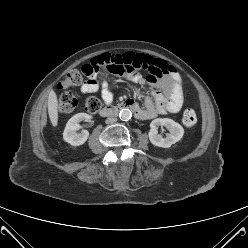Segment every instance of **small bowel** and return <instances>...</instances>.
I'll return each mask as SVG.
<instances>
[{"label":"small bowel","instance_id":"small-bowel-1","mask_svg":"<svg viewBox=\"0 0 248 248\" xmlns=\"http://www.w3.org/2000/svg\"><path fill=\"white\" fill-rule=\"evenodd\" d=\"M119 62L122 73H127L130 81L143 86H151L153 93L145 99V108L137 117L141 120L160 115L175 114L183 105V82L175 68L166 61L142 53L125 52L113 55ZM145 70L144 77L138 71ZM83 93L101 92L106 104L113 102V94L107 81L98 75L90 76L80 85Z\"/></svg>","mask_w":248,"mask_h":248}]
</instances>
